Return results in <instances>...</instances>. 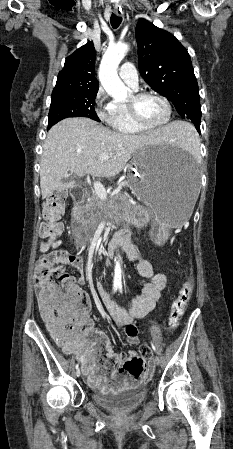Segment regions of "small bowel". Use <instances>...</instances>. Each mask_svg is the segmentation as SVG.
I'll return each instance as SVG.
<instances>
[{"label":"small bowel","instance_id":"obj_1","mask_svg":"<svg viewBox=\"0 0 233 449\" xmlns=\"http://www.w3.org/2000/svg\"><path fill=\"white\" fill-rule=\"evenodd\" d=\"M130 256L138 261V273L142 277L148 278L149 281L144 284L140 296L129 300V310L126 311L112 302L108 295L104 293L105 289L101 285H97V292H99V295H103L115 324L123 328L126 343L137 345L139 343V330L134 320L146 316L154 309L156 301L160 298L161 292L166 286V277L163 274L155 273L151 264L137 256L135 251ZM54 263L77 269L80 272L77 284L79 286L85 284L84 264L79 256L63 253L54 260ZM72 281H74L73 278ZM95 334L100 337L98 344L88 345L85 335L68 339L65 343H56L66 354L74 355L81 362L82 370L87 376L89 384L94 388H102L105 384V390H133L134 384H143V375H117L118 367L112 371V375H106L108 360L113 359L119 363L123 355L114 351L107 337L98 333ZM99 348L104 349L103 366L99 361Z\"/></svg>","mask_w":233,"mask_h":449}]
</instances>
